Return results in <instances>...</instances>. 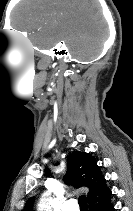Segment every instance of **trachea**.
<instances>
[{
    "label": "trachea",
    "instance_id": "obj_1",
    "mask_svg": "<svg viewBox=\"0 0 133 211\" xmlns=\"http://www.w3.org/2000/svg\"><path fill=\"white\" fill-rule=\"evenodd\" d=\"M78 202H79V205H80V208H81V209H88L87 201H86L85 195H81V196L78 198Z\"/></svg>",
    "mask_w": 133,
    "mask_h": 211
}]
</instances>
